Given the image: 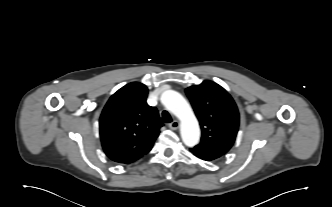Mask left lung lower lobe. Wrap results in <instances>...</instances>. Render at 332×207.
Listing matches in <instances>:
<instances>
[{
	"label": "left lung lower lobe",
	"instance_id": "1",
	"mask_svg": "<svg viewBox=\"0 0 332 207\" xmlns=\"http://www.w3.org/2000/svg\"><path fill=\"white\" fill-rule=\"evenodd\" d=\"M190 152L195 155L196 157L206 160V161H211L214 159L219 158L220 156L214 153L206 152V151H201L195 148H191Z\"/></svg>",
	"mask_w": 332,
	"mask_h": 207
}]
</instances>
